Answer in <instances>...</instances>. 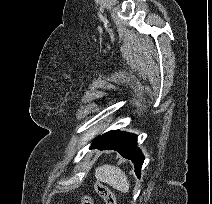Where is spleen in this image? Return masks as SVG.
Masks as SVG:
<instances>
[{"label":"spleen","mask_w":212,"mask_h":204,"mask_svg":"<svg viewBox=\"0 0 212 204\" xmlns=\"http://www.w3.org/2000/svg\"><path fill=\"white\" fill-rule=\"evenodd\" d=\"M95 177L97 180L107 183L116 190L127 193L130 183L126 174L114 165H102L96 168Z\"/></svg>","instance_id":"3e777b00"}]
</instances>
